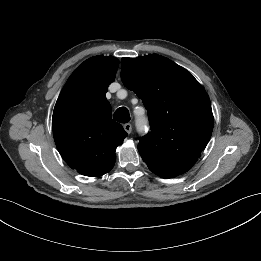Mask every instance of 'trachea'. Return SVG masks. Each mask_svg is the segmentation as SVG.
<instances>
[{"instance_id":"obj_1","label":"trachea","mask_w":261,"mask_h":261,"mask_svg":"<svg viewBox=\"0 0 261 261\" xmlns=\"http://www.w3.org/2000/svg\"><path fill=\"white\" fill-rule=\"evenodd\" d=\"M114 120L120 122V123H127L130 121V115L129 111L126 107H120L118 108L113 116Z\"/></svg>"}]
</instances>
